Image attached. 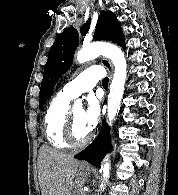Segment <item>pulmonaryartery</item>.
Segmentation results:
<instances>
[{
	"instance_id": "obj_1",
	"label": "pulmonary artery",
	"mask_w": 178,
	"mask_h": 195,
	"mask_svg": "<svg viewBox=\"0 0 178 195\" xmlns=\"http://www.w3.org/2000/svg\"><path fill=\"white\" fill-rule=\"evenodd\" d=\"M103 76L104 68L102 66H91L68 82L60 93L72 100L80 94L91 90Z\"/></svg>"
}]
</instances>
